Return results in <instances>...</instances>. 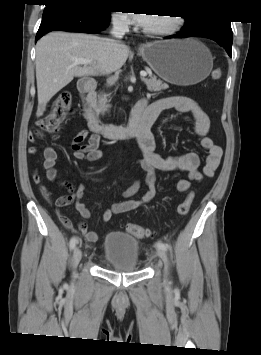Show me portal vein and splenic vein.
I'll list each match as a JSON object with an SVG mask.
<instances>
[{"instance_id": "18ae733b", "label": "portal vein and splenic vein", "mask_w": 261, "mask_h": 355, "mask_svg": "<svg viewBox=\"0 0 261 355\" xmlns=\"http://www.w3.org/2000/svg\"><path fill=\"white\" fill-rule=\"evenodd\" d=\"M74 63L75 64H82V65H87V64H91L92 61L88 60V59H83V58H75L74 59ZM140 76L142 79H144L147 76V73L144 71L140 72Z\"/></svg>"}]
</instances>
